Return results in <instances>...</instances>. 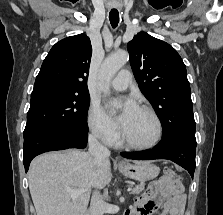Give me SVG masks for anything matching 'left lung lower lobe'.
I'll return each instance as SVG.
<instances>
[{
  "label": "left lung lower lobe",
  "instance_id": "obj_1",
  "mask_svg": "<svg viewBox=\"0 0 223 215\" xmlns=\"http://www.w3.org/2000/svg\"><path fill=\"white\" fill-rule=\"evenodd\" d=\"M195 152V134H174L162 137V140L153 149L139 152H122L121 156L134 160H171L186 169L193 178Z\"/></svg>",
  "mask_w": 223,
  "mask_h": 215
}]
</instances>
